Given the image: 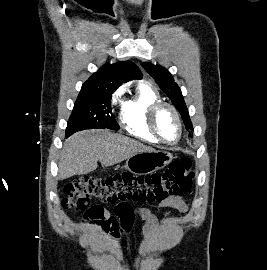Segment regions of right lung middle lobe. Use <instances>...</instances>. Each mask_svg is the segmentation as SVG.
Returning a JSON list of instances; mask_svg holds the SVG:
<instances>
[{
	"instance_id": "1",
	"label": "right lung middle lobe",
	"mask_w": 267,
	"mask_h": 270,
	"mask_svg": "<svg viewBox=\"0 0 267 270\" xmlns=\"http://www.w3.org/2000/svg\"><path fill=\"white\" fill-rule=\"evenodd\" d=\"M116 89H81L74 104L66 128V137L71 134L93 128L119 130L111 111V97Z\"/></svg>"
}]
</instances>
